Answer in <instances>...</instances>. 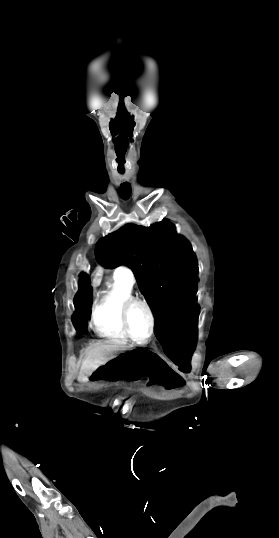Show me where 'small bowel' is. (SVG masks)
<instances>
[{
  "label": "small bowel",
  "instance_id": "small-bowel-1",
  "mask_svg": "<svg viewBox=\"0 0 279 538\" xmlns=\"http://www.w3.org/2000/svg\"><path fill=\"white\" fill-rule=\"evenodd\" d=\"M149 383L164 390H175L184 386L183 379L173 370H159L149 376Z\"/></svg>",
  "mask_w": 279,
  "mask_h": 538
}]
</instances>
